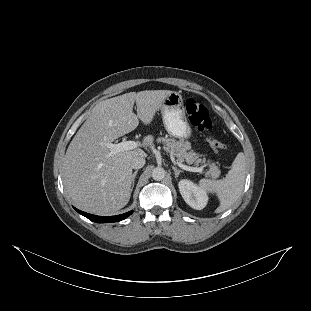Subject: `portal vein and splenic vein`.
<instances>
[{"label":"portal vein and splenic vein","mask_w":311,"mask_h":311,"mask_svg":"<svg viewBox=\"0 0 311 311\" xmlns=\"http://www.w3.org/2000/svg\"><path fill=\"white\" fill-rule=\"evenodd\" d=\"M138 142L135 141H122L117 144L113 143H106V147L110 149V153L108 154L109 157L122 152V151H129L133 150L138 147ZM178 167H180L183 170L190 171V172H199L201 173L203 171V167H192L187 166L181 162H177Z\"/></svg>","instance_id":"portal-vein-and-splenic-vein-1"}]
</instances>
